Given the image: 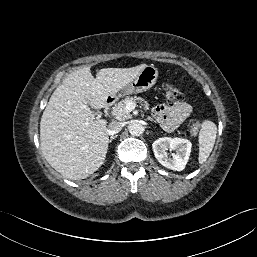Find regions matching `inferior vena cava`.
I'll list each match as a JSON object with an SVG mask.
<instances>
[{
  "mask_svg": "<svg viewBox=\"0 0 257 257\" xmlns=\"http://www.w3.org/2000/svg\"><path fill=\"white\" fill-rule=\"evenodd\" d=\"M122 127H123L122 122L114 121V122L109 124L108 129H107V133L109 135L113 136L114 134H117L122 129Z\"/></svg>",
  "mask_w": 257,
  "mask_h": 257,
  "instance_id": "1",
  "label": "inferior vena cava"
}]
</instances>
